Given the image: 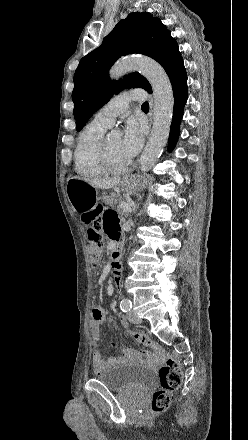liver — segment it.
I'll return each mask as SVG.
<instances>
[{"instance_id": "obj_1", "label": "liver", "mask_w": 248, "mask_h": 440, "mask_svg": "<svg viewBox=\"0 0 248 440\" xmlns=\"http://www.w3.org/2000/svg\"><path fill=\"white\" fill-rule=\"evenodd\" d=\"M76 179H81L79 177H75ZM84 181L88 182L90 185H92L95 188L100 189H109L114 187L115 185L119 184L121 182L120 178H114V179H84Z\"/></svg>"}]
</instances>
